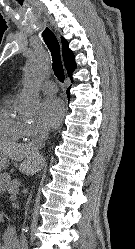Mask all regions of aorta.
Masks as SVG:
<instances>
[{"mask_svg":"<svg viewBox=\"0 0 135 249\" xmlns=\"http://www.w3.org/2000/svg\"><path fill=\"white\" fill-rule=\"evenodd\" d=\"M49 69V56L41 50L35 51L25 64V87L19 96V105L30 116L38 113L40 106L38 84L45 79Z\"/></svg>","mask_w":135,"mask_h":249,"instance_id":"762f6f07","label":"aorta"}]
</instances>
